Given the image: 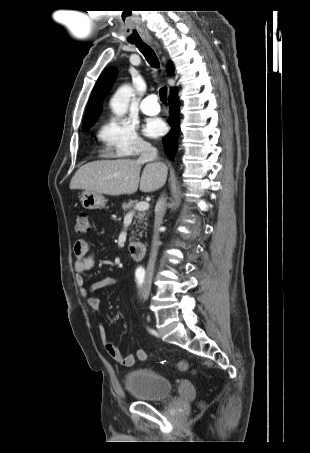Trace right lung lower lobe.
Here are the masks:
<instances>
[{
  "label": "right lung lower lobe",
  "instance_id": "obj_1",
  "mask_svg": "<svg viewBox=\"0 0 310 453\" xmlns=\"http://www.w3.org/2000/svg\"><path fill=\"white\" fill-rule=\"evenodd\" d=\"M169 111L170 117L168 120L169 125L172 127L171 131L163 138L165 152L168 157L172 159L177 150V136L179 126V100L175 89L171 90L169 96Z\"/></svg>",
  "mask_w": 310,
  "mask_h": 453
}]
</instances>
